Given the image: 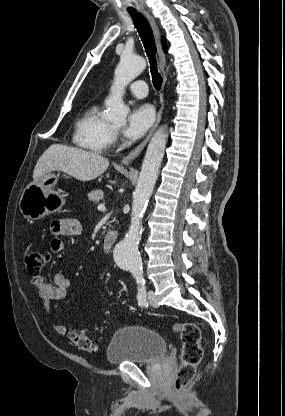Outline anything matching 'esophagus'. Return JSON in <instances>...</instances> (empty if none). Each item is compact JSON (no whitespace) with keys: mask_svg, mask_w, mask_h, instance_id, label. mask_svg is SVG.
<instances>
[{"mask_svg":"<svg viewBox=\"0 0 285 416\" xmlns=\"http://www.w3.org/2000/svg\"><path fill=\"white\" fill-rule=\"evenodd\" d=\"M144 13H145L148 21L150 22V25L153 29L155 39H156V42H157L159 63H160L161 71H162V74H163V90H164L165 84L167 82V74H166V56H165V54L163 52V49H162V46H161V33H160L159 28H158L154 18L152 17V15H150V13H148V12H144ZM163 109H164V98L162 97V99H161V108L159 109V111L157 113L154 124L150 128V131L148 132V135L133 151H131V153H129L127 156H125L122 159V161H121L122 164H128L131 161L135 160V158H137L140 155V153L143 151V149L145 148V146L149 142L151 136L153 135L155 129L157 128V126L159 125V123L161 121Z\"/></svg>","mask_w":285,"mask_h":416,"instance_id":"34e87169","label":"esophagus"}]
</instances>
